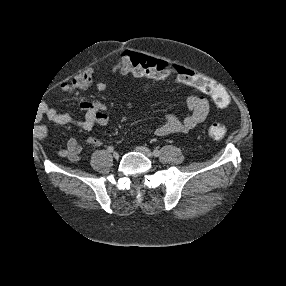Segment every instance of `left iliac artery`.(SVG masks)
I'll use <instances>...</instances> for the list:
<instances>
[{
    "mask_svg": "<svg viewBox=\"0 0 286 286\" xmlns=\"http://www.w3.org/2000/svg\"><path fill=\"white\" fill-rule=\"evenodd\" d=\"M153 154H154V156H159L160 155V151L159 150H157V149H155L154 151H153Z\"/></svg>",
    "mask_w": 286,
    "mask_h": 286,
    "instance_id": "44dca946",
    "label": "left iliac artery"
}]
</instances>
